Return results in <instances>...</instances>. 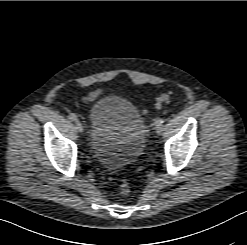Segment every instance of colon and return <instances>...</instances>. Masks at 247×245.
I'll return each mask as SVG.
<instances>
[{
  "mask_svg": "<svg viewBox=\"0 0 247 245\" xmlns=\"http://www.w3.org/2000/svg\"><path fill=\"white\" fill-rule=\"evenodd\" d=\"M170 98V93H164L162 95H160L157 98V106H160L161 104H163L164 102L168 101ZM130 185L128 184V182L123 181L120 185V192L124 195L128 194L130 192Z\"/></svg>",
  "mask_w": 247,
  "mask_h": 245,
  "instance_id": "5ec220e1",
  "label": "colon"
}]
</instances>
